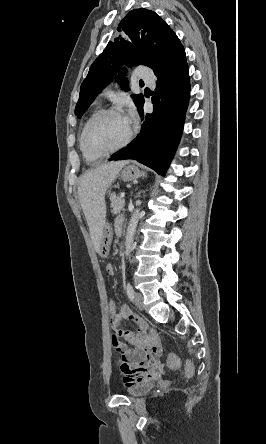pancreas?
<instances>
[{"label":"pancreas","mask_w":266,"mask_h":444,"mask_svg":"<svg viewBox=\"0 0 266 444\" xmlns=\"http://www.w3.org/2000/svg\"><path fill=\"white\" fill-rule=\"evenodd\" d=\"M110 200H111V212L113 214H119L121 210L124 209L125 200L117 197L115 194H112L110 196Z\"/></svg>","instance_id":"obj_1"}]
</instances>
